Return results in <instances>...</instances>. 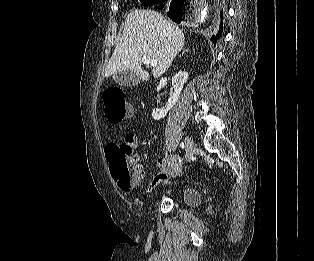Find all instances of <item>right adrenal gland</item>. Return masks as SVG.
Here are the masks:
<instances>
[{
  "label": "right adrenal gland",
  "mask_w": 314,
  "mask_h": 261,
  "mask_svg": "<svg viewBox=\"0 0 314 261\" xmlns=\"http://www.w3.org/2000/svg\"><path fill=\"white\" fill-rule=\"evenodd\" d=\"M188 51H189L188 49H183L182 55H183L185 52H188Z\"/></svg>",
  "instance_id": "right-adrenal-gland-1"
}]
</instances>
